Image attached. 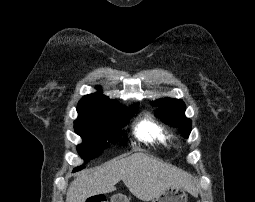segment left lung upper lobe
<instances>
[{
  "label": "left lung upper lobe",
  "instance_id": "left-lung-upper-lobe-1",
  "mask_svg": "<svg viewBox=\"0 0 255 202\" xmlns=\"http://www.w3.org/2000/svg\"><path fill=\"white\" fill-rule=\"evenodd\" d=\"M153 106H159L155 114L165 123L178 127L185 138H188L192 126L191 121L185 117V104L180 99H159L152 102Z\"/></svg>",
  "mask_w": 255,
  "mask_h": 202
}]
</instances>
